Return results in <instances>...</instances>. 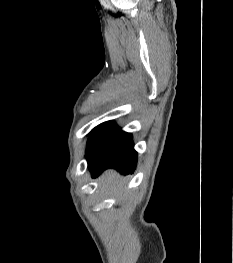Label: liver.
<instances>
[{"label":"liver","instance_id":"obj_1","mask_svg":"<svg viewBox=\"0 0 233 263\" xmlns=\"http://www.w3.org/2000/svg\"><path fill=\"white\" fill-rule=\"evenodd\" d=\"M119 175L112 170L104 173L101 177L100 185L105 191H109L111 194L116 195L122 191V186L119 184Z\"/></svg>","mask_w":233,"mask_h":263}]
</instances>
